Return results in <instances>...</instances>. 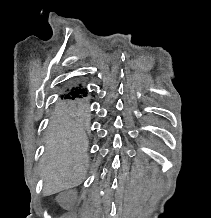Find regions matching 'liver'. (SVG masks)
Returning a JSON list of instances; mask_svg holds the SVG:
<instances>
[{
    "label": "liver",
    "instance_id": "liver-1",
    "mask_svg": "<svg viewBox=\"0 0 211 218\" xmlns=\"http://www.w3.org/2000/svg\"><path fill=\"white\" fill-rule=\"evenodd\" d=\"M46 144L47 152L41 168L45 176V196L79 186L85 178L88 162V144L83 128L69 116H62L53 122Z\"/></svg>",
    "mask_w": 211,
    "mask_h": 218
}]
</instances>
